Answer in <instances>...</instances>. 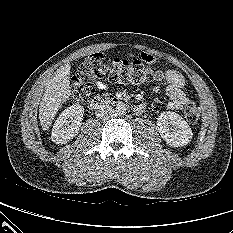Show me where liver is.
I'll use <instances>...</instances> for the list:
<instances>
[{
    "label": "liver",
    "mask_w": 233,
    "mask_h": 233,
    "mask_svg": "<svg viewBox=\"0 0 233 233\" xmlns=\"http://www.w3.org/2000/svg\"><path fill=\"white\" fill-rule=\"evenodd\" d=\"M70 68L69 64L60 67L46 86L39 106L40 124L44 130L49 128L56 113L70 96Z\"/></svg>",
    "instance_id": "obj_1"
}]
</instances>
